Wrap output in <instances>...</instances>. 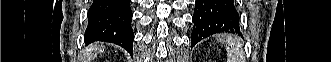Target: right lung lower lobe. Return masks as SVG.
Returning a JSON list of instances; mask_svg holds the SVG:
<instances>
[{"label": "right lung lower lobe", "mask_w": 331, "mask_h": 62, "mask_svg": "<svg viewBox=\"0 0 331 62\" xmlns=\"http://www.w3.org/2000/svg\"><path fill=\"white\" fill-rule=\"evenodd\" d=\"M130 2L131 0H93L88 11L85 42L114 43L132 54L134 33L131 27Z\"/></svg>", "instance_id": "98d812e1"}]
</instances>
